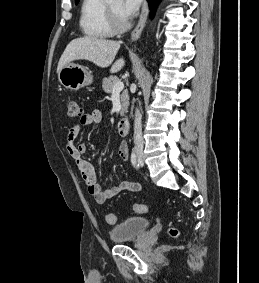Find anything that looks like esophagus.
I'll return each mask as SVG.
<instances>
[{"mask_svg": "<svg viewBox=\"0 0 259 283\" xmlns=\"http://www.w3.org/2000/svg\"><path fill=\"white\" fill-rule=\"evenodd\" d=\"M147 16H148V3L145 1L143 6H142L139 21H138L135 29L132 31V34H131V40L132 41H136L140 37V35H141V33L144 29L146 20H147Z\"/></svg>", "mask_w": 259, "mask_h": 283, "instance_id": "34e87169", "label": "esophagus"}]
</instances>
